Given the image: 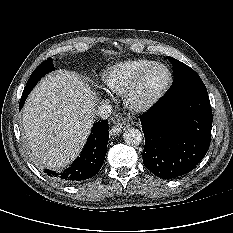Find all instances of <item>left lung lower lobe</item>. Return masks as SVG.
<instances>
[{"label": "left lung lower lobe", "instance_id": "obj_1", "mask_svg": "<svg viewBox=\"0 0 233 233\" xmlns=\"http://www.w3.org/2000/svg\"><path fill=\"white\" fill-rule=\"evenodd\" d=\"M139 118L143 163L160 178L190 172L208 151L213 117L207 91L168 94Z\"/></svg>", "mask_w": 233, "mask_h": 233}]
</instances>
